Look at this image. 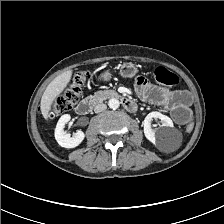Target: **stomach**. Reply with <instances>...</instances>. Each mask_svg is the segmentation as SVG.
I'll use <instances>...</instances> for the list:
<instances>
[{
    "label": "stomach",
    "instance_id": "0dacf381",
    "mask_svg": "<svg viewBox=\"0 0 224 224\" xmlns=\"http://www.w3.org/2000/svg\"><path fill=\"white\" fill-rule=\"evenodd\" d=\"M120 75L124 78H133L137 74L135 65L132 62H124L120 65ZM112 74L110 70L104 71L101 78L105 81L110 80Z\"/></svg>",
    "mask_w": 224,
    "mask_h": 224
}]
</instances>
